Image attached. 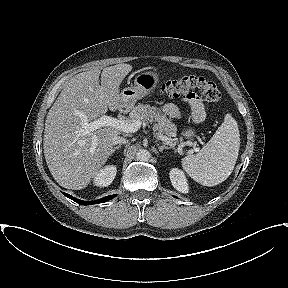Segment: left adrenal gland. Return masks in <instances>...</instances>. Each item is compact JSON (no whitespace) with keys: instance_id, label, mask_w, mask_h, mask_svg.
I'll use <instances>...</instances> for the list:
<instances>
[{"instance_id":"left-adrenal-gland-1","label":"left adrenal gland","mask_w":288,"mask_h":288,"mask_svg":"<svg viewBox=\"0 0 288 288\" xmlns=\"http://www.w3.org/2000/svg\"><path fill=\"white\" fill-rule=\"evenodd\" d=\"M164 149H171V147H168V146H165V145L158 146V150H159L160 152H163Z\"/></svg>"}]
</instances>
